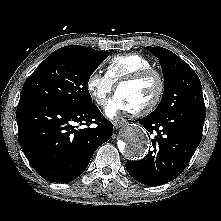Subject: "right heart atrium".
Returning <instances> with one entry per match:
<instances>
[{"mask_svg": "<svg viewBox=\"0 0 221 221\" xmlns=\"http://www.w3.org/2000/svg\"><path fill=\"white\" fill-rule=\"evenodd\" d=\"M86 88L95 102L99 106H104L114 90V84L106 74L94 71L87 79Z\"/></svg>", "mask_w": 221, "mask_h": 221, "instance_id": "d8ad5b80", "label": "right heart atrium"}]
</instances>
